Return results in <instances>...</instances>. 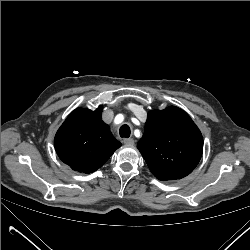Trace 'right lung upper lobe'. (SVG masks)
<instances>
[{
    "instance_id": "1",
    "label": "right lung upper lobe",
    "mask_w": 250,
    "mask_h": 250,
    "mask_svg": "<svg viewBox=\"0 0 250 250\" xmlns=\"http://www.w3.org/2000/svg\"><path fill=\"white\" fill-rule=\"evenodd\" d=\"M101 113L102 106L95 111L77 108L55 135L57 155L75 171H96L121 146L102 121Z\"/></svg>"
}]
</instances>
